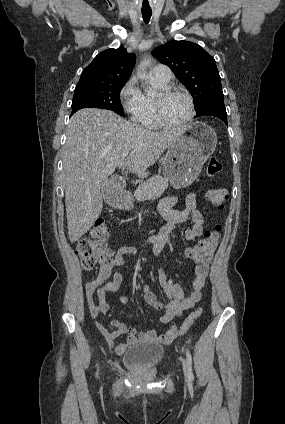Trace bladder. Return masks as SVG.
<instances>
[{
  "label": "bladder",
  "mask_w": 285,
  "mask_h": 424,
  "mask_svg": "<svg viewBox=\"0 0 285 424\" xmlns=\"http://www.w3.org/2000/svg\"><path fill=\"white\" fill-rule=\"evenodd\" d=\"M166 348L154 342H141L127 348L122 362L132 372L155 370L165 359Z\"/></svg>",
  "instance_id": "obj_1"
}]
</instances>
